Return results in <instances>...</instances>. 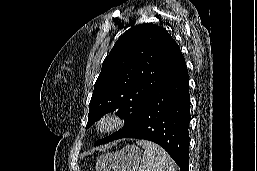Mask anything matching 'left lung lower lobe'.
Here are the masks:
<instances>
[{"label": "left lung lower lobe", "mask_w": 257, "mask_h": 171, "mask_svg": "<svg viewBox=\"0 0 257 171\" xmlns=\"http://www.w3.org/2000/svg\"><path fill=\"white\" fill-rule=\"evenodd\" d=\"M190 119L189 76L180 51L134 122L113 140L153 141L169 153L181 171H189Z\"/></svg>", "instance_id": "obj_1"}]
</instances>
